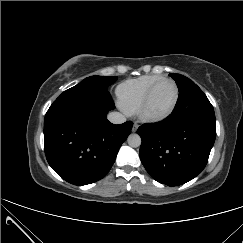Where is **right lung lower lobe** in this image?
Listing matches in <instances>:
<instances>
[{
    "instance_id": "obj_1",
    "label": "right lung lower lobe",
    "mask_w": 243,
    "mask_h": 243,
    "mask_svg": "<svg viewBox=\"0 0 243 243\" xmlns=\"http://www.w3.org/2000/svg\"><path fill=\"white\" fill-rule=\"evenodd\" d=\"M115 105L108 91L78 84L64 91L44 120L45 155L52 169L74 185L102 179L112 167L133 123L106 119Z\"/></svg>"
}]
</instances>
